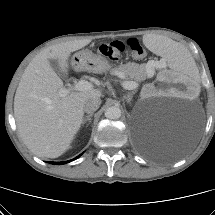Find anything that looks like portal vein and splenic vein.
Masks as SVG:
<instances>
[{
    "instance_id": "18ae733b",
    "label": "portal vein and splenic vein",
    "mask_w": 215,
    "mask_h": 215,
    "mask_svg": "<svg viewBox=\"0 0 215 215\" xmlns=\"http://www.w3.org/2000/svg\"><path fill=\"white\" fill-rule=\"evenodd\" d=\"M163 65L166 66L165 62H163ZM119 76L121 78H124V76L122 74H119ZM122 86L124 89L133 90L138 87V84L135 81H124L122 83ZM92 87L93 86L90 82L85 81V80H80V81L76 82L74 85L70 86L69 88H61L59 90V95L61 97H63V96H66L71 91H87V90L92 89Z\"/></svg>"
}]
</instances>
